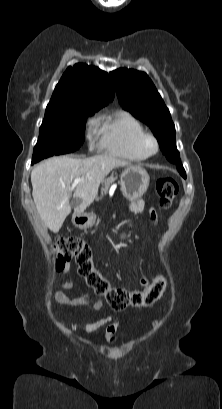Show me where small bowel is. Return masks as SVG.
Segmentation results:
<instances>
[{
  "label": "small bowel",
  "instance_id": "1",
  "mask_svg": "<svg viewBox=\"0 0 222 409\" xmlns=\"http://www.w3.org/2000/svg\"><path fill=\"white\" fill-rule=\"evenodd\" d=\"M144 207H145L144 200H138L131 205L130 209L134 213H140L144 210ZM149 213H150L151 219L155 222L157 220V213L155 209L151 208L149 210ZM68 269H69V265L66 266L65 272L68 271ZM75 283H76L75 280H69V281L57 280V284L61 288H65V289L74 287ZM143 284H145V281H143ZM54 298L59 303L65 306H69V307H80L86 304H92L94 313L100 311L103 306L102 299L99 296L93 295V294H89V295L82 296V297L71 298L67 296L65 293L61 291H57L54 293ZM118 325H119L118 319L112 315H108L95 322L89 323L86 326V331L88 333H93L103 327H106V330H105L106 335L109 337L116 333Z\"/></svg>",
  "mask_w": 222,
  "mask_h": 409
}]
</instances>
